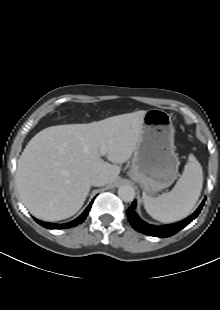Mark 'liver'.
Here are the masks:
<instances>
[{
	"mask_svg": "<svg viewBox=\"0 0 220 310\" xmlns=\"http://www.w3.org/2000/svg\"><path fill=\"white\" fill-rule=\"evenodd\" d=\"M146 111L117 115L88 124L43 129L27 144L18 160L15 181L30 213L45 221L73 216L84 204L91 178L102 174L113 183L118 164L134 152ZM106 158H101V147Z\"/></svg>",
	"mask_w": 220,
	"mask_h": 310,
	"instance_id": "6515ba94",
	"label": "liver"
}]
</instances>
